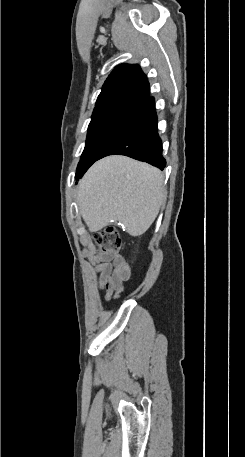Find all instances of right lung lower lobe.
Returning <instances> with one entry per match:
<instances>
[{"instance_id":"obj_1","label":"right lung lower lobe","mask_w":245,"mask_h":457,"mask_svg":"<svg viewBox=\"0 0 245 457\" xmlns=\"http://www.w3.org/2000/svg\"><path fill=\"white\" fill-rule=\"evenodd\" d=\"M113 154L129 156L164 169L166 161L162 156L153 97L148 96L129 111L97 160Z\"/></svg>"}]
</instances>
